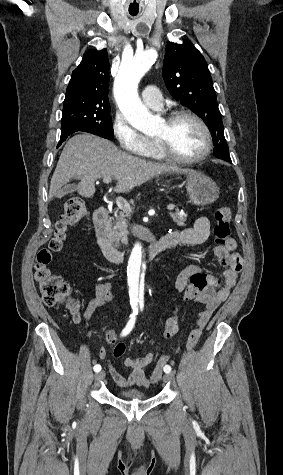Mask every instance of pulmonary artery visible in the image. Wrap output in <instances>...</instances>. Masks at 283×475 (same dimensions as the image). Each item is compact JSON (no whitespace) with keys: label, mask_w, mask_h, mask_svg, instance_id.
<instances>
[{"label":"pulmonary artery","mask_w":283,"mask_h":475,"mask_svg":"<svg viewBox=\"0 0 283 475\" xmlns=\"http://www.w3.org/2000/svg\"><path fill=\"white\" fill-rule=\"evenodd\" d=\"M114 90H137V89H114ZM162 89L155 85H147L141 89L142 101L153 109H160L163 106Z\"/></svg>","instance_id":"1"}]
</instances>
